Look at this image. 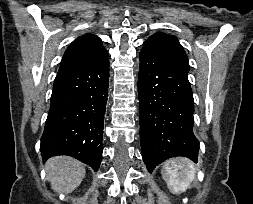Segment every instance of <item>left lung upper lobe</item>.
I'll use <instances>...</instances> for the list:
<instances>
[{
    "instance_id": "obj_1",
    "label": "left lung upper lobe",
    "mask_w": 253,
    "mask_h": 204,
    "mask_svg": "<svg viewBox=\"0 0 253 204\" xmlns=\"http://www.w3.org/2000/svg\"><path fill=\"white\" fill-rule=\"evenodd\" d=\"M143 48L154 49L181 63L189 71L187 55L175 36L158 32L144 42Z\"/></svg>"
}]
</instances>
